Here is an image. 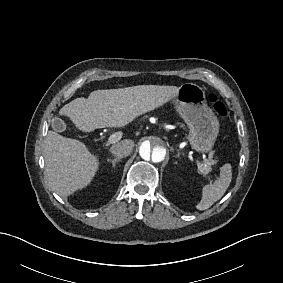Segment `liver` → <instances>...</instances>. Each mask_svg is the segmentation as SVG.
Instances as JSON below:
<instances>
[{
  "label": "liver",
  "mask_w": 283,
  "mask_h": 283,
  "mask_svg": "<svg viewBox=\"0 0 283 283\" xmlns=\"http://www.w3.org/2000/svg\"><path fill=\"white\" fill-rule=\"evenodd\" d=\"M176 86L138 85L96 90L86 99L76 98L59 111L84 132L123 127L136 117L158 108L178 93ZM45 173L52 189L67 197L86 187L98 170V159L85 144L48 131L44 145Z\"/></svg>",
  "instance_id": "obj_1"
}]
</instances>
